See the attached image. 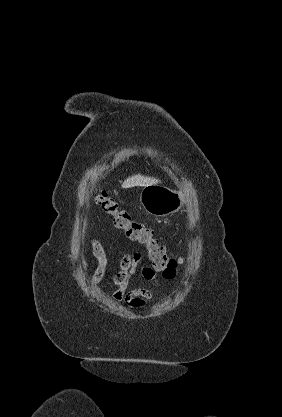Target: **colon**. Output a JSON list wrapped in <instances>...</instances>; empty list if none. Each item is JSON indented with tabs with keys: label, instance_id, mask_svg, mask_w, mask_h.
<instances>
[{
	"label": "colon",
	"instance_id": "obj_1",
	"mask_svg": "<svg viewBox=\"0 0 282 417\" xmlns=\"http://www.w3.org/2000/svg\"><path fill=\"white\" fill-rule=\"evenodd\" d=\"M96 202L108 214L114 225L123 230L126 236L146 248L148 258L154 269L166 278L175 276L177 263L173 257L166 254L165 248L155 238L154 231L142 222L131 218L130 214L119 207L115 198L104 189H97L94 193Z\"/></svg>",
	"mask_w": 282,
	"mask_h": 417
}]
</instances>
